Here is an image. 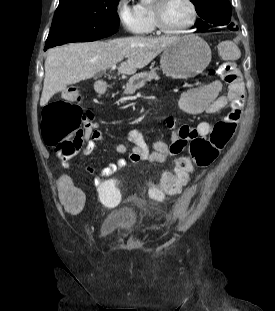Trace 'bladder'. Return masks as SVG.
<instances>
[{
	"mask_svg": "<svg viewBox=\"0 0 275 311\" xmlns=\"http://www.w3.org/2000/svg\"><path fill=\"white\" fill-rule=\"evenodd\" d=\"M139 215L134 208L118 209L107 214L101 224V233L112 236L133 232L138 225Z\"/></svg>",
	"mask_w": 275,
	"mask_h": 311,
	"instance_id": "obj_1",
	"label": "bladder"
}]
</instances>
